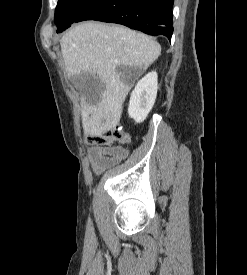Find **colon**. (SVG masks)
I'll list each match as a JSON object with an SVG mask.
<instances>
[{
    "instance_id": "1",
    "label": "colon",
    "mask_w": 247,
    "mask_h": 275,
    "mask_svg": "<svg viewBox=\"0 0 247 275\" xmlns=\"http://www.w3.org/2000/svg\"><path fill=\"white\" fill-rule=\"evenodd\" d=\"M129 137L121 127H115L100 135H91L86 139L88 145L107 146L112 144H128Z\"/></svg>"
}]
</instances>
